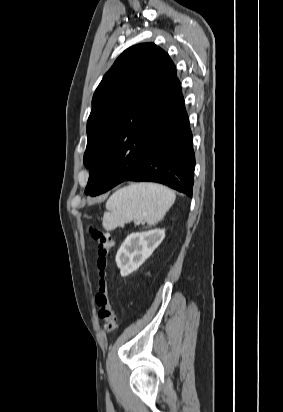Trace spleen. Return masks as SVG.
<instances>
[{
  "label": "spleen",
  "mask_w": 283,
  "mask_h": 412,
  "mask_svg": "<svg viewBox=\"0 0 283 412\" xmlns=\"http://www.w3.org/2000/svg\"><path fill=\"white\" fill-rule=\"evenodd\" d=\"M175 198V193L163 185L132 183L117 190L108 199L103 227L112 231L131 221L155 225L164 218Z\"/></svg>",
  "instance_id": "3e777b00"
}]
</instances>
